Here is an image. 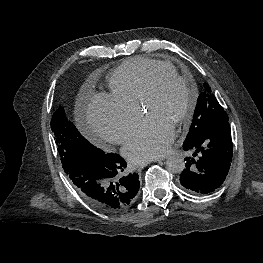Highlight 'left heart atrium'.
I'll use <instances>...</instances> for the list:
<instances>
[{"mask_svg": "<svg viewBox=\"0 0 263 263\" xmlns=\"http://www.w3.org/2000/svg\"><path fill=\"white\" fill-rule=\"evenodd\" d=\"M174 136L173 128L167 123L149 117L132 133L123 153L133 163L142 164L165 155Z\"/></svg>", "mask_w": 263, "mask_h": 263, "instance_id": "1", "label": "left heart atrium"}]
</instances>
